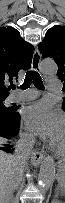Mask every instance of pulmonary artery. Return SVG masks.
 I'll return each instance as SVG.
<instances>
[{
  "mask_svg": "<svg viewBox=\"0 0 65 203\" xmlns=\"http://www.w3.org/2000/svg\"><path fill=\"white\" fill-rule=\"evenodd\" d=\"M61 88L60 82L56 79H49L47 89L52 92H58ZM38 92L35 90H27L22 92H14L9 96V101L12 103L20 101H28L37 98Z\"/></svg>",
  "mask_w": 65,
  "mask_h": 203,
  "instance_id": "1",
  "label": "pulmonary artery"
}]
</instances>
